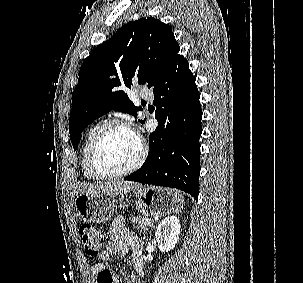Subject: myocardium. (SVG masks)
Returning <instances> with one entry per match:
<instances>
[{
    "label": "myocardium",
    "instance_id": "myocardium-1",
    "mask_svg": "<svg viewBox=\"0 0 303 283\" xmlns=\"http://www.w3.org/2000/svg\"><path fill=\"white\" fill-rule=\"evenodd\" d=\"M113 126L124 127L134 132L133 128L126 121L117 118L104 122L98 128L89 146L88 161L93 172L101 179H117L135 172L144 163L147 154V149L143 140L134 132L139 141V152L135 161L128 168L118 172H108L104 170L98 161V149L105 133Z\"/></svg>",
    "mask_w": 303,
    "mask_h": 283
}]
</instances>
